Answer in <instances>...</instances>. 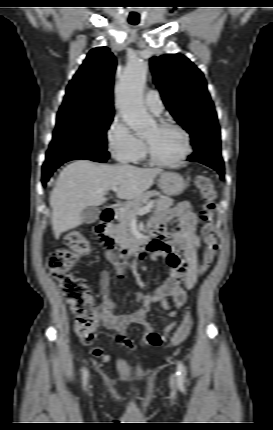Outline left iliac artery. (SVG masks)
I'll return each mask as SVG.
<instances>
[{"instance_id": "left-iliac-artery-1", "label": "left iliac artery", "mask_w": 273, "mask_h": 430, "mask_svg": "<svg viewBox=\"0 0 273 430\" xmlns=\"http://www.w3.org/2000/svg\"><path fill=\"white\" fill-rule=\"evenodd\" d=\"M176 374L178 377V382L182 385L185 381V376H186V368L182 362L178 363Z\"/></svg>"}]
</instances>
